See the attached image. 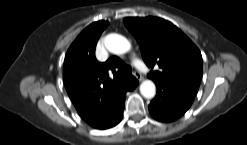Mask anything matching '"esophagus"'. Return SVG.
I'll return each instance as SVG.
<instances>
[{
  "instance_id": "esophagus-1",
  "label": "esophagus",
  "mask_w": 247,
  "mask_h": 145,
  "mask_svg": "<svg viewBox=\"0 0 247 145\" xmlns=\"http://www.w3.org/2000/svg\"><path fill=\"white\" fill-rule=\"evenodd\" d=\"M134 76L139 80V81H142L143 80V77L142 75L139 73V72H134Z\"/></svg>"
}]
</instances>
